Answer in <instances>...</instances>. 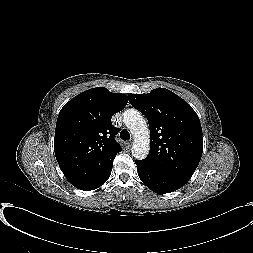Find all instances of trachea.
Here are the masks:
<instances>
[{
    "instance_id": "trachea-1",
    "label": "trachea",
    "mask_w": 253,
    "mask_h": 253,
    "mask_svg": "<svg viewBox=\"0 0 253 253\" xmlns=\"http://www.w3.org/2000/svg\"><path fill=\"white\" fill-rule=\"evenodd\" d=\"M120 137H121V139L126 141V140L130 139V134L126 129H123L120 133Z\"/></svg>"
}]
</instances>
